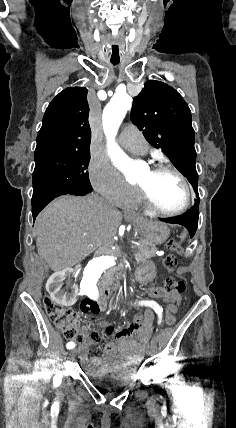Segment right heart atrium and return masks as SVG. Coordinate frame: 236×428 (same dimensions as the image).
I'll return each instance as SVG.
<instances>
[{"mask_svg":"<svg viewBox=\"0 0 236 428\" xmlns=\"http://www.w3.org/2000/svg\"><path fill=\"white\" fill-rule=\"evenodd\" d=\"M89 180L102 200L111 201V206H126L135 192L134 188L118 177L106 160L94 159L90 162Z\"/></svg>","mask_w":236,"mask_h":428,"instance_id":"obj_1","label":"right heart atrium"}]
</instances>
